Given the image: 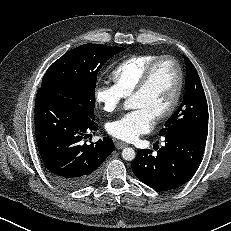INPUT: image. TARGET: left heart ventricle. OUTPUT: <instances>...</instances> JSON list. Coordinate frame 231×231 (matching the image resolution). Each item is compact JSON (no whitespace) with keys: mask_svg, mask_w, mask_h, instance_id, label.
I'll use <instances>...</instances> for the list:
<instances>
[{"mask_svg":"<svg viewBox=\"0 0 231 231\" xmlns=\"http://www.w3.org/2000/svg\"><path fill=\"white\" fill-rule=\"evenodd\" d=\"M177 85L175 66L168 60L160 62L153 71L147 88L131 98L134 108L144 107L154 116L167 108Z\"/></svg>","mask_w":231,"mask_h":231,"instance_id":"b2bd125f","label":"left heart ventricle"}]
</instances>
